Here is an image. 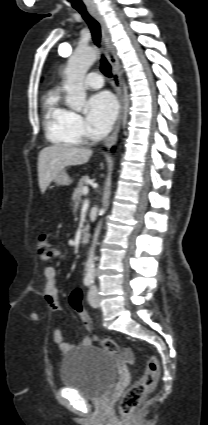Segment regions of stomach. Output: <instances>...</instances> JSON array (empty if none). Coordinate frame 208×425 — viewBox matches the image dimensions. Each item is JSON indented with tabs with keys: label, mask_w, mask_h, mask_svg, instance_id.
I'll return each instance as SVG.
<instances>
[{
	"label": "stomach",
	"mask_w": 208,
	"mask_h": 425,
	"mask_svg": "<svg viewBox=\"0 0 208 425\" xmlns=\"http://www.w3.org/2000/svg\"><path fill=\"white\" fill-rule=\"evenodd\" d=\"M54 183L58 186H68L72 183V179L65 170L60 171L53 179Z\"/></svg>",
	"instance_id": "stomach-1"
}]
</instances>
